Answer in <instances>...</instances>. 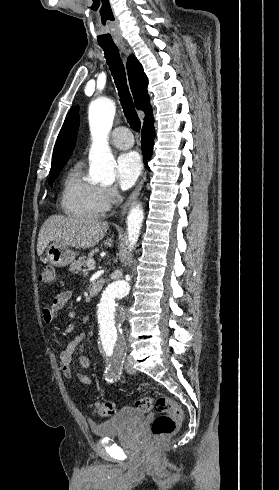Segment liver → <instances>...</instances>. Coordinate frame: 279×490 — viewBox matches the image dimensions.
<instances>
[{
  "instance_id": "liver-1",
  "label": "liver",
  "mask_w": 279,
  "mask_h": 490,
  "mask_svg": "<svg viewBox=\"0 0 279 490\" xmlns=\"http://www.w3.org/2000/svg\"><path fill=\"white\" fill-rule=\"evenodd\" d=\"M108 222L94 218H65L50 216L44 222L37 240V256H42L50 242L64 248H93L108 230ZM113 240H106L104 246L111 248Z\"/></svg>"
}]
</instances>
